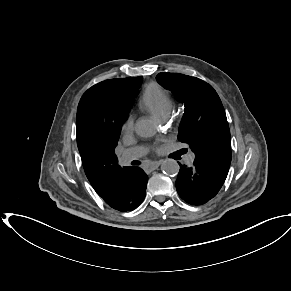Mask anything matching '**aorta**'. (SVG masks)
Segmentation results:
<instances>
[{
  "mask_svg": "<svg viewBox=\"0 0 291 291\" xmlns=\"http://www.w3.org/2000/svg\"><path fill=\"white\" fill-rule=\"evenodd\" d=\"M135 132L141 137H152L156 133L155 125L147 119H140L135 124ZM179 165L174 159H166L161 164V170L164 174L175 176L179 172Z\"/></svg>",
  "mask_w": 291,
  "mask_h": 291,
  "instance_id": "1",
  "label": "aorta"
}]
</instances>
